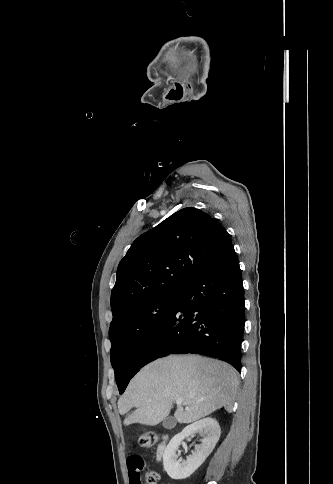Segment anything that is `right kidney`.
<instances>
[{
	"label": "right kidney",
	"mask_w": 333,
	"mask_h": 484,
	"mask_svg": "<svg viewBox=\"0 0 333 484\" xmlns=\"http://www.w3.org/2000/svg\"><path fill=\"white\" fill-rule=\"evenodd\" d=\"M199 433L203 439L192 455L186 461L177 459L176 450L180 443L190 435ZM221 431L218 422L213 418H204L187 427L175 435L167 445L163 454V466L168 476L175 480L186 479L191 476L206 460L219 440Z\"/></svg>",
	"instance_id": "ca27d5eb"
}]
</instances>
